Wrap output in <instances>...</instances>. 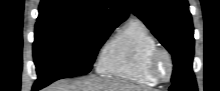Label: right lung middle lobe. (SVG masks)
<instances>
[{
  "label": "right lung middle lobe",
  "instance_id": "obj_1",
  "mask_svg": "<svg viewBox=\"0 0 220 91\" xmlns=\"http://www.w3.org/2000/svg\"><path fill=\"white\" fill-rule=\"evenodd\" d=\"M116 27L76 23H45L35 26L33 56L38 79L47 86L60 79L87 74L97 52Z\"/></svg>",
  "mask_w": 220,
  "mask_h": 91
}]
</instances>
